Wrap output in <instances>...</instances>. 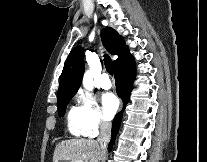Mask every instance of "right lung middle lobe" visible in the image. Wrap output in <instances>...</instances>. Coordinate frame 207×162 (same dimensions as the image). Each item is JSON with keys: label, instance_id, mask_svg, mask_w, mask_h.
<instances>
[{"label": "right lung middle lobe", "instance_id": "obj_1", "mask_svg": "<svg viewBox=\"0 0 207 162\" xmlns=\"http://www.w3.org/2000/svg\"><path fill=\"white\" fill-rule=\"evenodd\" d=\"M72 97L73 96H69V97H64V98L58 99V114H59V116H64L66 106L68 105V103Z\"/></svg>", "mask_w": 207, "mask_h": 162}]
</instances>
